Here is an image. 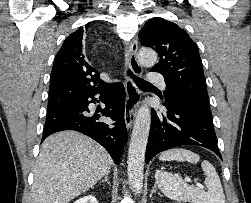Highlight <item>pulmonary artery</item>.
<instances>
[{"label": "pulmonary artery", "mask_w": 251, "mask_h": 203, "mask_svg": "<svg viewBox=\"0 0 251 203\" xmlns=\"http://www.w3.org/2000/svg\"><path fill=\"white\" fill-rule=\"evenodd\" d=\"M148 79L154 83L161 85L162 87H166L165 78L161 73H150L148 75Z\"/></svg>", "instance_id": "e3ab8cb5"}]
</instances>
